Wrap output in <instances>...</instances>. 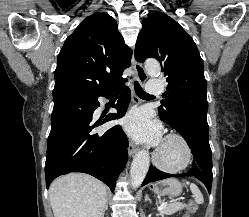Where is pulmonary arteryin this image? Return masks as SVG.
<instances>
[{
	"instance_id": "obj_1",
	"label": "pulmonary artery",
	"mask_w": 249,
	"mask_h": 217,
	"mask_svg": "<svg viewBox=\"0 0 249 217\" xmlns=\"http://www.w3.org/2000/svg\"><path fill=\"white\" fill-rule=\"evenodd\" d=\"M147 91L151 96H157L161 93V82L152 79L147 84Z\"/></svg>"
}]
</instances>
